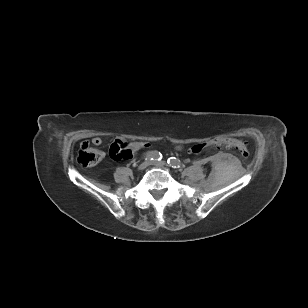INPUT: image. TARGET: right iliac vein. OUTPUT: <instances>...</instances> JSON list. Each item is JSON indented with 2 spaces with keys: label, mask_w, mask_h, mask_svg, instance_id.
<instances>
[{
  "label": "right iliac vein",
  "mask_w": 308,
  "mask_h": 308,
  "mask_svg": "<svg viewBox=\"0 0 308 308\" xmlns=\"http://www.w3.org/2000/svg\"><path fill=\"white\" fill-rule=\"evenodd\" d=\"M151 164V162L149 160H146L144 162H142L139 166H138V169L140 171L146 169L149 165Z\"/></svg>",
  "instance_id": "obj_1"
}]
</instances>
